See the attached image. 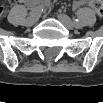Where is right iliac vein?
<instances>
[{"label":"right iliac vein","mask_w":103,"mask_h":103,"mask_svg":"<svg viewBox=\"0 0 103 103\" xmlns=\"http://www.w3.org/2000/svg\"><path fill=\"white\" fill-rule=\"evenodd\" d=\"M36 23V18L31 16L26 20V26H33Z\"/></svg>","instance_id":"63e3f726"}]
</instances>
